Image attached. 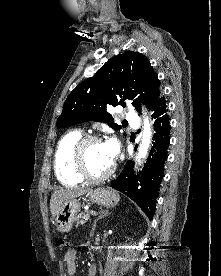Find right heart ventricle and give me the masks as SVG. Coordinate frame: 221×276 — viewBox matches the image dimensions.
<instances>
[{
	"instance_id": "obj_1",
	"label": "right heart ventricle",
	"mask_w": 221,
	"mask_h": 276,
	"mask_svg": "<svg viewBox=\"0 0 221 276\" xmlns=\"http://www.w3.org/2000/svg\"><path fill=\"white\" fill-rule=\"evenodd\" d=\"M81 137V131H69L61 137L57 144L54 166L55 172L63 184L78 185L83 182V179L77 174L73 164V149Z\"/></svg>"
}]
</instances>
